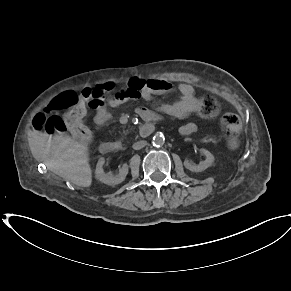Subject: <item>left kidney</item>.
Listing matches in <instances>:
<instances>
[{"mask_svg":"<svg viewBox=\"0 0 291 291\" xmlns=\"http://www.w3.org/2000/svg\"><path fill=\"white\" fill-rule=\"evenodd\" d=\"M201 152L206 156L204 161H201L198 165L192 164L189 160H185L184 166L192 172H202L210 167L214 162V156L206 149H201Z\"/></svg>","mask_w":291,"mask_h":291,"instance_id":"5707ae66","label":"left kidney"}]
</instances>
